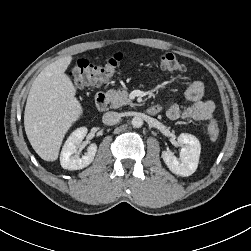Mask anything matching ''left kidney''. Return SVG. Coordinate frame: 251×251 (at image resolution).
<instances>
[{
    "label": "left kidney",
    "mask_w": 251,
    "mask_h": 251,
    "mask_svg": "<svg viewBox=\"0 0 251 251\" xmlns=\"http://www.w3.org/2000/svg\"><path fill=\"white\" fill-rule=\"evenodd\" d=\"M177 141L183 145L180 157L177 158L175 155L163 151L162 158L172 173L187 177L192 175L197 169L201 145L195 136L187 133L180 134Z\"/></svg>",
    "instance_id": "left-kidney-1"
}]
</instances>
